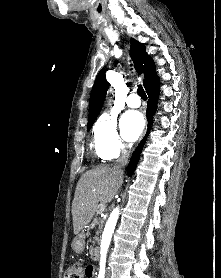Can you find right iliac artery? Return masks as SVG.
<instances>
[{
  "mask_svg": "<svg viewBox=\"0 0 221 278\" xmlns=\"http://www.w3.org/2000/svg\"><path fill=\"white\" fill-rule=\"evenodd\" d=\"M104 274H105V266L100 265V271H99L98 278H104Z\"/></svg>",
  "mask_w": 221,
  "mask_h": 278,
  "instance_id": "right-iliac-artery-1",
  "label": "right iliac artery"
}]
</instances>
